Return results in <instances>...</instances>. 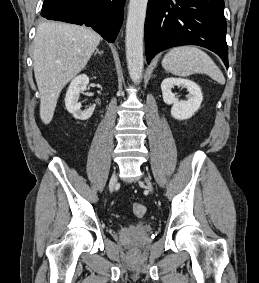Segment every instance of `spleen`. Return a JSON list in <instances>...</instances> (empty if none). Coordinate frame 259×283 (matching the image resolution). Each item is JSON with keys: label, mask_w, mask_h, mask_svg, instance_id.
Instances as JSON below:
<instances>
[{"label": "spleen", "mask_w": 259, "mask_h": 283, "mask_svg": "<svg viewBox=\"0 0 259 283\" xmlns=\"http://www.w3.org/2000/svg\"><path fill=\"white\" fill-rule=\"evenodd\" d=\"M163 68L176 76L187 77L196 73L206 74L220 84L225 83L223 73L214 61L194 46L171 49L162 60Z\"/></svg>", "instance_id": "spleen-1"}]
</instances>
